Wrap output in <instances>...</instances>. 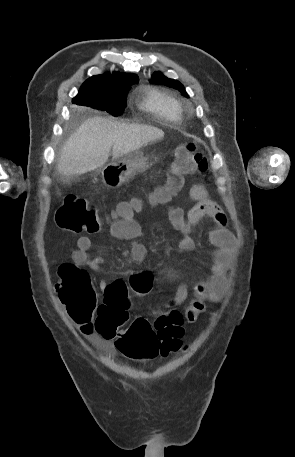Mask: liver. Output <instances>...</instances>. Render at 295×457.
<instances>
[{"label":"liver","mask_w":295,"mask_h":457,"mask_svg":"<svg viewBox=\"0 0 295 457\" xmlns=\"http://www.w3.org/2000/svg\"><path fill=\"white\" fill-rule=\"evenodd\" d=\"M163 137L161 129L150 125L89 118L65 142L57 171L65 176L82 175L103 166L111 149L116 160Z\"/></svg>","instance_id":"6515ba94"}]
</instances>
